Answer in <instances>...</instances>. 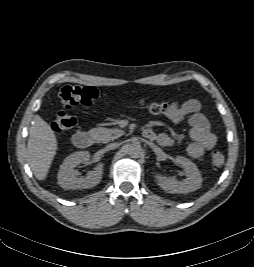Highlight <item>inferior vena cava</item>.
I'll use <instances>...</instances> for the list:
<instances>
[{
    "label": "inferior vena cava",
    "mask_w": 254,
    "mask_h": 267,
    "mask_svg": "<svg viewBox=\"0 0 254 267\" xmlns=\"http://www.w3.org/2000/svg\"><path fill=\"white\" fill-rule=\"evenodd\" d=\"M118 147V144H116V143H111V144H108L107 146H106V149L107 150H113V149H115V148H117Z\"/></svg>",
    "instance_id": "inferior-vena-cava-1"
}]
</instances>
